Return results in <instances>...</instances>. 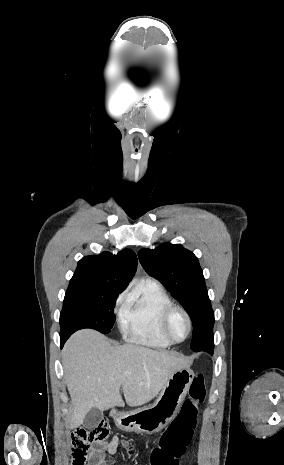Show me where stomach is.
I'll return each instance as SVG.
<instances>
[{
  "instance_id": "stomach-1",
  "label": "stomach",
  "mask_w": 284,
  "mask_h": 465,
  "mask_svg": "<svg viewBox=\"0 0 284 465\" xmlns=\"http://www.w3.org/2000/svg\"><path fill=\"white\" fill-rule=\"evenodd\" d=\"M193 377L194 373L189 367L176 371L169 377L153 405L115 415L116 427L126 433H159L177 415Z\"/></svg>"
}]
</instances>
